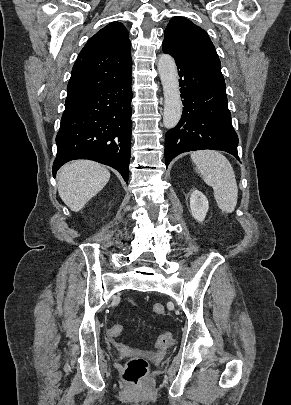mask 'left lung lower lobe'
<instances>
[{
    "label": "left lung lower lobe",
    "instance_id": "1",
    "mask_svg": "<svg viewBox=\"0 0 291 405\" xmlns=\"http://www.w3.org/2000/svg\"><path fill=\"white\" fill-rule=\"evenodd\" d=\"M162 49L176 61L184 99L180 122L166 133V167L177 155L202 149L226 151L239 160L220 63L186 57L164 45Z\"/></svg>",
    "mask_w": 291,
    "mask_h": 405
}]
</instances>
